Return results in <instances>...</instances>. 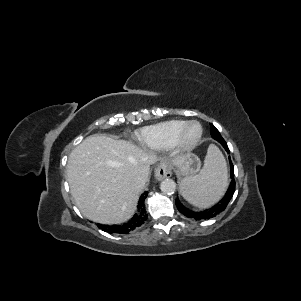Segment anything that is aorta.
<instances>
[{"label": "aorta", "instance_id": "obj_1", "mask_svg": "<svg viewBox=\"0 0 301 301\" xmlns=\"http://www.w3.org/2000/svg\"><path fill=\"white\" fill-rule=\"evenodd\" d=\"M160 189L165 194H174L176 191V183L172 179H165L161 182Z\"/></svg>", "mask_w": 301, "mask_h": 301}]
</instances>
